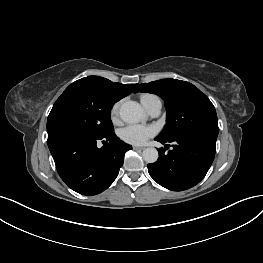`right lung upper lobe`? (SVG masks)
Masks as SVG:
<instances>
[{"mask_svg":"<svg viewBox=\"0 0 263 263\" xmlns=\"http://www.w3.org/2000/svg\"><path fill=\"white\" fill-rule=\"evenodd\" d=\"M74 85L89 87L117 102L132 93L138 84L113 83L112 81L103 77L88 76L75 81L69 86Z\"/></svg>","mask_w":263,"mask_h":263,"instance_id":"obj_1","label":"right lung upper lobe"}]
</instances>
